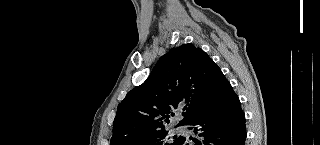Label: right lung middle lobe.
<instances>
[{
  "label": "right lung middle lobe",
  "mask_w": 320,
  "mask_h": 145,
  "mask_svg": "<svg viewBox=\"0 0 320 145\" xmlns=\"http://www.w3.org/2000/svg\"><path fill=\"white\" fill-rule=\"evenodd\" d=\"M182 136H170L165 129L152 132L132 145H179Z\"/></svg>",
  "instance_id": "right-lung-middle-lobe-1"
}]
</instances>
